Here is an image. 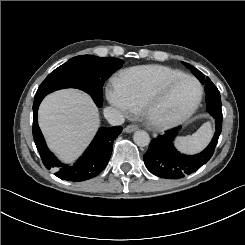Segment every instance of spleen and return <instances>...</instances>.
I'll return each instance as SVG.
<instances>
[{
    "instance_id": "3e777b00",
    "label": "spleen",
    "mask_w": 245,
    "mask_h": 245,
    "mask_svg": "<svg viewBox=\"0 0 245 245\" xmlns=\"http://www.w3.org/2000/svg\"><path fill=\"white\" fill-rule=\"evenodd\" d=\"M214 137V128L211 120L205 122L196 133L187 137L174 136L173 147L183 155H198L211 143Z\"/></svg>"
}]
</instances>
